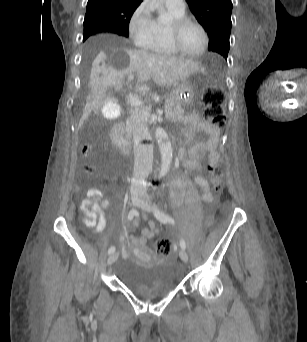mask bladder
Here are the masks:
<instances>
[{
  "label": "bladder",
  "instance_id": "1",
  "mask_svg": "<svg viewBox=\"0 0 307 342\" xmlns=\"http://www.w3.org/2000/svg\"><path fill=\"white\" fill-rule=\"evenodd\" d=\"M122 284L133 293L156 298L167 295L179 284L178 276L170 269L126 259L119 273Z\"/></svg>",
  "mask_w": 307,
  "mask_h": 342
}]
</instances>
